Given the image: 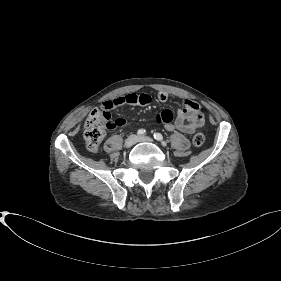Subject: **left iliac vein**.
<instances>
[{
	"mask_svg": "<svg viewBox=\"0 0 281 281\" xmlns=\"http://www.w3.org/2000/svg\"><path fill=\"white\" fill-rule=\"evenodd\" d=\"M137 142H154V140L148 136H139L137 137Z\"/></svg>",
	"mask_w": 281,
	"mask_h": 281,
	"instance_id": "4c4485c4",
	"label": "left iliac vein"
}]
</instances>
